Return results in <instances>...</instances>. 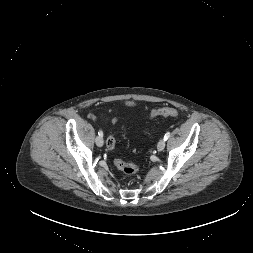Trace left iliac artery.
<instances>
[{
	"instance_id": "1",
	"label": "left iliac artery",
	"mask_w": 253,
	"mask_h": 253,
	"mask_svg": "<svg viewBox=\"0 0 253 253\" xmlns=\"http://www.w3.org/2000/svg\"><path fill=\"white\" fill-rule=\"evenodd\" d=\"M170 136V132H167L165 135H164V140L166 141Z\"/></svg>"
}]
</instances>
